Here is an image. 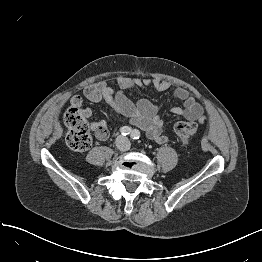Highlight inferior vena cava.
<instances>
[{"label":"inferior vena cava","instance_id":"1","mask_svg":"<svg viewBox=\"0 0 262 262\" xmlns=\"http://www.w3.org/2000/svg\"><path fill=\"white\" fill-rule=\"evenodd\" d=\"M116 146L121 151H126L130 148V141L127 137L118 136L116 139Z\"/></svg>","mask_w":262,"mask_h":262}]
</instances>
